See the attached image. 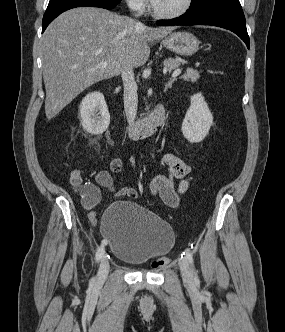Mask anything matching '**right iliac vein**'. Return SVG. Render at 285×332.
<instances>
[{"instance_id": "right-iliac-vein-1", "label": "right iliac vein", "mask_w": 285, "mask_h": 332, "mask_svg": "<svg viewBox=\"0 0 285 332\" xmlns=\"http://www.w3.org/2000/svg\"><path fill=\"white\" fill-rule=\"evenodd\" d=\"M109 260L106 256H103L99 265V270H98V276H97V281L99 283H103L107 276H108V272H109Z\"/></svg>"}]
</instances>
